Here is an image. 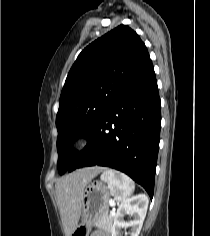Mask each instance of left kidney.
Returning <instances> with one entry per match:
<instances>
[{"mask_svg":"<svg viewBox=\"0 0 210 236\" xmlns=\"http://www.w3.org/2000/svg\"><path fill=\"white\" fill-rule=\"evenodd\" d=\"M148 208V197L145 194L133 196L118 207L114 215V222L111 228V236H118L122 228L131 227L130 236H138ZM130 215L132 220L124 221V217Z\"/></svg>","mask_w":210,"mask_h":236,"instance_id":"left-kidney-1","label":"left kidney"}]
</instances>
